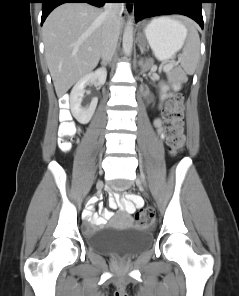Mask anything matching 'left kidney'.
<instances>
[{"label": "left kidney", "mask_w": 239, "mask_h": 296, "mask_svg": "<svg viewBox=\"0 0 239 296\" xmlns=\"http://www.w3.org/2000/svg\"><path fill=\"white\" fill-rule=\"evenodd\" d=\"M160 87H161L162 89H164V88H165L164 83H160Z\"/></svg>", "instance_id": "5707ae66"}]
</instances>
